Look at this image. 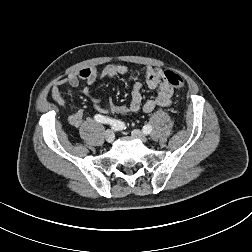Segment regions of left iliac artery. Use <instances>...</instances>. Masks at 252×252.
Returning <instances> with one entry per match:
<instances>
[{
    "label": "left iliac artery",
    "instance_id": "44dca946",
    "mask_svg": "<svg viewBox=\"0 0 252 252\" xmlns=\"http://www.w3.org/2000/svg\"><path fill=\"white\" fill-rule=\"evenodd\" d=\"M143 132L145 134H150L152 132V126L150 124H147L143 127Z\"/></svg>",
    "mask_w": 252,
    "mask_h": 252
}]
</instances>
